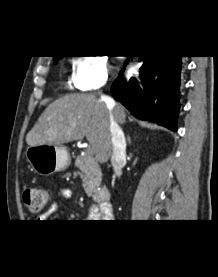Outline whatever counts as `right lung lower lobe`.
Segmentation results:
<instances>
[{"mask_svg": "<svg viewBox=\"0 0 218 277\" xmlns=\"http://www.w3.org/2000/svg\"><path fill=\"white\" fill-rule=\"evenodd\" d=\"M140 75L129 81L118 76L112 96L135 117L177 130L179 88L184 62L181 56H140ZM123 70L121 71V75Z\"/></svg>", "mask_w": 218, "mask_h": 277, "instance_id": "98d812e1", "label": "right lung lower lobe"}]
</instances>
